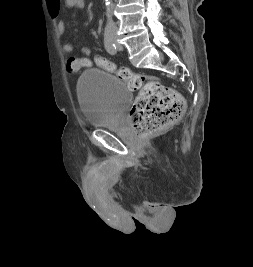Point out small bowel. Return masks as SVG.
Returning a JSON list of instances; mask_svg holds the SVG:
<instances>
[{"instance_id":"1","label":"small bowel","mask_w":253,"mask_h":267,"mask_svg":"<svg viewBox=\"0 0 253 267\" xmlns=\"http://www.w3.org/2000/svg\"><path fill=\"white\" fill-rule=\"evenodd\" d=\"M67 8L83 9L85 7V0H63ZM50 14L57 20V32L59 37L65 34V23L61 17V0H46ZM65 53H71L74 47L71 43L65 42L62 46Z\"/></svg>"}]
</instances>
